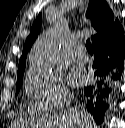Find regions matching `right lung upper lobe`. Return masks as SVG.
<instances>
[{"mask_svg": "<svg viewBox=\"0 0 125 128\" xmlns=\"http://www.w3.org/2000/svg\"><path fill=\"white\" fill-rule=\"evenodd\" d=\"M86 15L90 17L91 25L97 30V34L91 37L92 43L119 23L118 19L114 20L113 13L105 0H89ZM41 18L42 15L39 14L30 29V34L23 47V53L19 61L17 73L25 70L26 56L40 31Z\"/></svg>", "mask_w": 125, "mask_h": 128, "instance_id": "obj_1", "label": "right lung upper lobe"}]
</instances>
